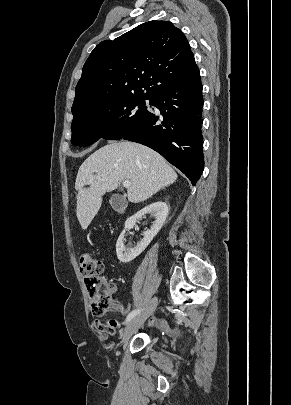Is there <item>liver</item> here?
Segmentation results:
<instances>
[{"instance_id": "1", "label": "liver", "mask_w": 291, "mask_h": 405, "mask_svg": "<svg viewBox=\"0 0 291 405\" xmlns=\"http://www.w3.org/2000/svg\"><path fill=\"white\" fill-rule=\"evenodd\" d=\"M177 177L166 160L146 146L133 142L107 144L91 154L78 170V221L86 229L99 211L103 195L122 181L131 182L127 188L129 202L139 203L174 183ZM86 185L89 187L84 188Z\"/></svg>"}]
</instances>
